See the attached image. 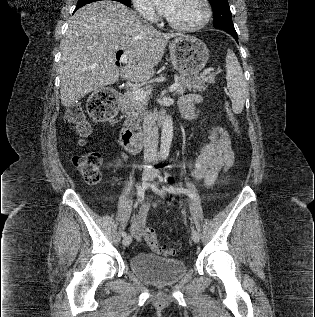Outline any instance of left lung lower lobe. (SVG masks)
<instances>
[{"label": "left lung lower lobe", "mask_w": 315, "mask_h": 317, "mask_svg": "<svg viewBox=\"0 0 315 317\" xmlns=\"http://www.w3.org/2000/svg\"><path fill=\"white\" fill-rule=\"evenodd\" d=\"M224 30L225 32L229 33L230 35H232L234 37V39L237 41L238 43V37H237V33L235 30H231V29H221Z\"/></svg>", "instance_id": "1"}]
</instances>
